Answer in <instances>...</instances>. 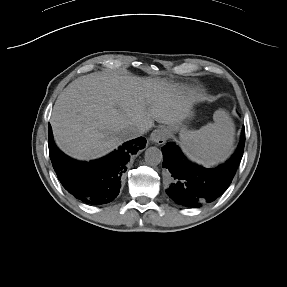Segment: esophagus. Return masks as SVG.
<instances>
[{"instance_id": "34e87169", "label": "esophagus", "mask_w": 287, "mask_h": 287, "mask_svg": "<svg viewBox=\"0 0 287 287\" xmlns=\"http://www.w3.org/2000/svg\"><path fill=\"white\" fill-rule=\"evenodd\" d=\"M168 139V131L165 128H157L150 135V141L157 145H162Z\"/></svg>"}]
</instances>
